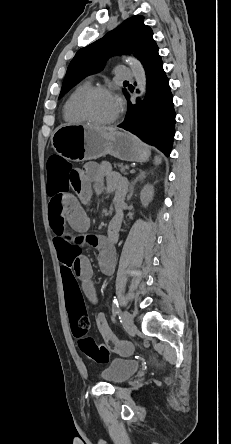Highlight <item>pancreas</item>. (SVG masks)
Returning a JSON list of instances; mask_svg holds the SVG:
<instances>
[{"mask_svg":"<svg viewBox=\"0 0 231 444\" xmlns=\"http://www.w3.org/2000/svg\"><path fill=\"white\" fill-rule=\"evenodd\" d=\"M114 168H118L121 172H126L128 170V167L123 165V163H114Z\"/></svg>","mask_w":231,"mask_h":444,"instance_id":"pancreas-1","label":"pancreas"}]
</instances>
